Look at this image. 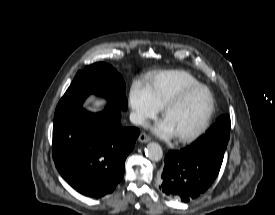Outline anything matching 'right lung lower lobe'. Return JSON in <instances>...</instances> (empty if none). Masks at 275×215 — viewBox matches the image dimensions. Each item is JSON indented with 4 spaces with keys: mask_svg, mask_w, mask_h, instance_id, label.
Here are the masks:
<instances>
[{
    "mask_svg": "<svg viewBox=\"0 0 275 215\" xmlns=\"http://www.w3.org/2000/svg\"><path fill=\"white\" fill-rule=\"evenodd\" d=\"M139 133L121 126V110L111 103L99 113L80 108L55 115V166L79 193L103 197L122 180L125 160Z\"/></svg>",
    "mask_w": 275,
    "mask_h": 215,
    "instance_id": "obj_1",
    "label": "right lung lower lobe"
}]
</instances>
